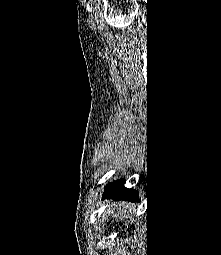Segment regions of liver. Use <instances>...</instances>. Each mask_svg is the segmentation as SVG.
<instances>
[{
  "mask_svg": "<svg viewBox=\"0 0 221 255\" xmlns=\"http://www.w3.org/2000/svg\"><path fill=\"white\" fill-rule=\"evenodd\" d=\"M116 210V212H115ZM136 210V205L130 202H122V203H112L109 206L108 212L112 215L113 218L118 220L125 219L132 216V214Z\"/></svg>",
  "mask_w": 221,
  "mask_h": 255,
  "instance_id": "obj_1",
  "label": "liver"
}]
</instances>
